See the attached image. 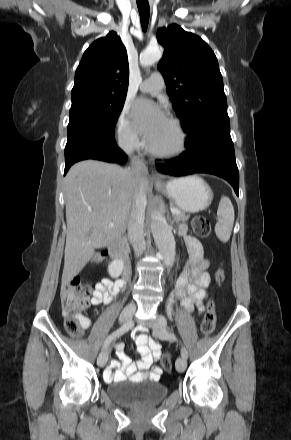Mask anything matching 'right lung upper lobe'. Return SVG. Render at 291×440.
I'll return each mask as SVG.
<instances>
[{"instance_id": "right-lung-upper-lobe-1", "label": "right lung upper lobe", "mask_w": 291, "mask_h": 440, "mask_svg": "<svg viewBox=\"0 0 291 440\" xmlns=\"http://www.w3.org/2000/svg\"><path fill=\"white\" fill-rule=\"evenodd\" d=\"M128 82L127 51L120 37L111 31L85 51L75 72L71 100L126 98Z\"/></svg>"}]
</instances>
